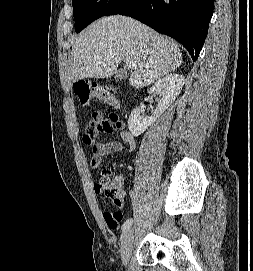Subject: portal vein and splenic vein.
<instances>
[{
	"label": "portal vein and splenic vein",
	"mask_w": 253,
	"mask_h": 271,
	"mask_svg": "<svg viewBox=\"0 0 253 271\" xmlns=\"http://www.w3.org/2000/svg\"><path fill=\"white\" fill-rule=\"evenodd\" d=\"M126 65H127L128 67H130V68L134 66L133 62L130 61L129 59H126Z\"/></svg>",
	"instance_id": "18ae733b"
}]
</instances>
